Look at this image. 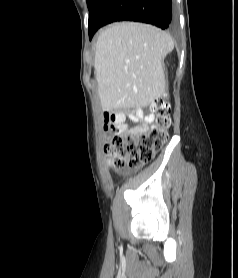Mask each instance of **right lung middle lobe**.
<instances>
[{
    "mask_svg": "<svg viewBox=\"0 0 238 278\" xmlns=\"http://www.w3.org/2000/svg\"><path fill=\"white\" fill-rule=\"evenodd\" d=\"M96 0H87V6H88V9L90 10L92 5L94 4Z\"/></svg>",
    "mask_w": 238,
    "mask_h": 278,
    "instance_id": "right-lung-middle-lobe-1",
    "label": "right lung middle lobe"
}]
</instances>
